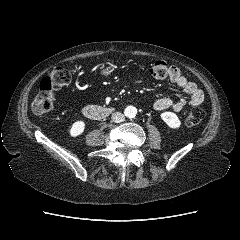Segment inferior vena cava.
Wrapping results in <instances>:
<instances>
[{
  "label": "inferior vena cava",
  "mask_w": 240,
  "mask_h": 240,
  "mask_svg": "<svg viewBox=\"0 0 240 240\" xmlns=\"http://www.w3.org/2000/svg\"><path fill=\"white\" fill-rule=\"evenodd\" d=\"M111 118H112V121L115 122V123H121L125 120V116L121 112L113 113Z\"/></svg>",
  "instance_id": "inferior-vena-cava-1"
}]
</instances>
